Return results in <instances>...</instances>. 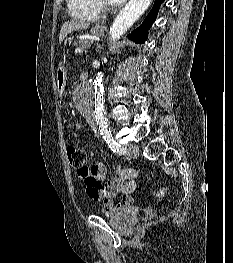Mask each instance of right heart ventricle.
Returning <instances> with one entry per match:
<instances>
[{
    "label": "right heart ventricle",
    "instance_id": "e07e8e85",
    "mask_svg": "<svg viewBox=\"0 0 233 263\" xmlns=\"http://www.w3.org/2000/svg\"><path fill=\"white\" fill-rule=\"evenodd\" d=\"M68 9L72 17L88 21L96 19L100 13L95 0H68Z\"/></svg>",
    "mask_w": 233,
    "mask_h": 263
}]
</instances>
